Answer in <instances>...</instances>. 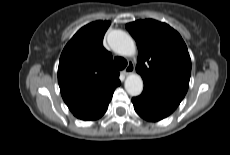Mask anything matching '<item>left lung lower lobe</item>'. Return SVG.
I'll return each mask as SVG.
<instances>
[{
	"label": "left lung lower lobe",
	"mask_w": 230,
	"mask_h": 155,
	"mask_svg": "<svg viewBox=\"0 0 230 155\" xmlns=\"http://www.w3.org/2000/svg\"><path fill=\"white\" fill-rule=\"evenodd\" d=\"M132 103L140 117L153 122L166 118L179 105L149 89H144L140 96L132 98Z\"/></svg>",
	"instance_id": "left-lung-lower-lobe-1"
}]
</instances>
